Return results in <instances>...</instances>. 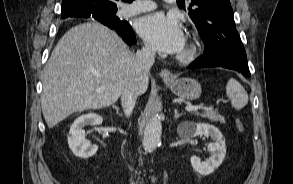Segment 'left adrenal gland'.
I'll list each match as a JSON object with an SVG mask.
<instances>
[{
    "label": "left adrenal gland",
    "mask_w": 293,
    "mask_h": 184,
    "mask_svg": "<svg viewBox=\"0 0 293 184\" xmlns=\"http://www.w3.org/2000/svg\"><path fill=\"white\" fill-rule=\"evenodd\" d=\"M182 115H183V113L179 114L178 111H177V109H174V119H178Z\"/></svg>",
    "instance_id": "left-adrenal-gland-1"
}]
</instances>
